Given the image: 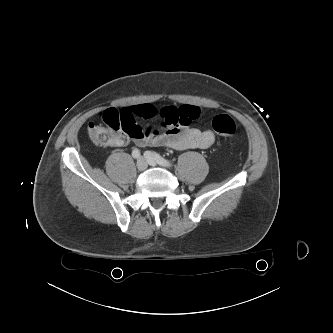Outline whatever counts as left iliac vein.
<instances>
[{
  "label": "left iliac vein",
  "instance_id": "4c4485c4",
  "mask_svg": "<svg viewBox=\"0 0 333 333\" xmlns=\"http://www.w3.org/2000/svg\"><path fill=\"white\" fill-rule=\"evenodd\" d=\"M146 161L151 166H156L158 164V162L152 156L146 157Z\"/></svg>",
  "mask_w": 333,
  "mask_h": 333
}]
</instances>
